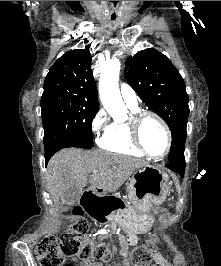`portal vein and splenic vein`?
<instances>
[{
  "mask_svg": "<svg viewBox=\"0 0 221 266\" xmlns=\"http://www.w3.org/2000/svg\"><path fill=\"white\" fill-rule=\"evenodd\" d=\"M97 172H98V170H96V169L93 170V173H94V174H96Z\"/></svg>",
  "mask_w": 221,
  "mask_h": 266,
  "instance_id": "portal-vein-and-splenic-vein-1",
  "label": "portal vein and splenic vein"
}]
</instances>
